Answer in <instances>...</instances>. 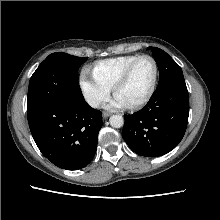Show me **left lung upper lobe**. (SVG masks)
Masks as SVG:
<instances>
[{"label":"left lung upper lobe","mask_w":220,"mask_h":220,"mask_svg":"<svg viewBox=\"0 0 220 220\" xmlns=\"http://www.w3.org/2000/svg\"><path fill=\"white\" fill-rule=\"evenodd\" d=\"M159 68V83L157 89L179 80H184L180 66L163 50L149 47Z\"/></svg>","instance_id":"obj_1"}]
</instances>
